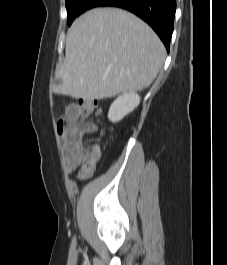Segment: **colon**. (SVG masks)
I'll use <instances>...</instances> for the list:
<instances>
[{
	"instance_id": "obj_1",
	"label": "colon",
	"mask_w": 227,
	"mask_h": 265,
	"mask_svg": "<svg viewBox=\"0 0 227 265\" xmlns=\"http://www.w3.org/2000/svg\"><path fill=\"white\" fill-rule=\"evenodd\" d=\"M78 105H80V113L82 114L83 117H88L93 113H96V114L100 113L97 100L81 101L79 102ZM57 127H58L59 136L61 140L63 141L66 137L67 130L69 128L68 121L66 119H60L58 121Z\"/></svg>"
}]
</instances>
